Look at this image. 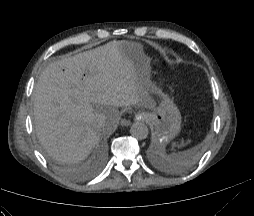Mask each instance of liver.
<instances>
[{
	"mask_svg": "<svg viewBox=\"0 0 254 216\" xmlns=\"http://www.w3.org/2000/svg\"><path fill=\"white\" fill-rule=\"evenodd\" d=\"M112 41L50 63L34 89V123L41 145L56 161L84 160L120 120L119 107L153 108L147 85Z\"/></svg>",
	"mask_w": 254,
	"mask_h": 216,
	"instance_id": "liver-1",
	"label": "liver"
}]
</instances>
